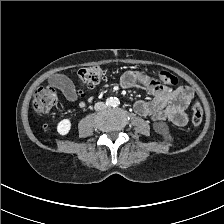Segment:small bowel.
Listing matches in <instances>:
<instances>
[{
	"label": "small bowel",
	"instance_id": "1",
	"mask_svg": "<svg viewBox=\"0 0 224 224\" xmlns=\"http://www.w3.org/2000/svg\"><path fill=\"white\" fill-rule=\"evenodd\" d=\"M50 83L57 87L68 101L75 102L78 93L72 81L63 76L55 75ZM123 88L140 87L153 96L150 101L139 100L134 105L135 112L150 118L153 122L170 121L177 126L187 122L186 108L190 104L194 92L188 86H179L175 90L162 86L140 71H127L121 78Z\"/></svg>",
	"mask_w": 224,
	"mask_h": 224
}]
</instances>
